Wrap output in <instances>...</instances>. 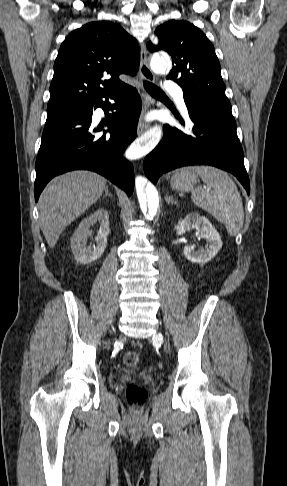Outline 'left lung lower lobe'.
<instances>
[{"instance_id":"left-lung-lower-lobe-1","label":"left lung lower lobe","mask_w":287,"mask_h":486,"mask_svg":"<svg viewBox=\"0 0 287 486\" xmlns=\"http://www.w3.org/2000/svg\"><path fill=\"white\" fill-rule=\"evenodd\" d=\"M193 122L191 132L164 126V136L144 161L146 176L155 184L160 175L188 165H211L231 172L250 192L244 155L236 125L204 114L187 105ZM184 125L182 118L176 115Z\"/></svg>"}]
</instances>
